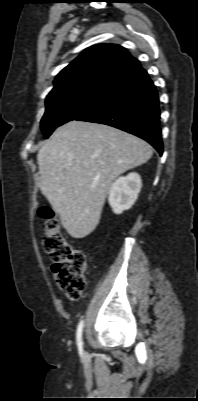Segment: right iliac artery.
I'll list each match as a JSON object with an SVG mask.
<instances>
[{"label":"right iliac artery","mask_w":198,"mask_h":401,"mask_svg":"<svg viewBox=\"0 0 198 401\" xmlns=\"http://www.w3.org/2000/svg\"><path fill=\"white\" fill-rule=\"evenodd\" d=\"M83 327H84V321L81 320L78 324L77 332H76V340H77V345H78L80 353H82V348H83V342H82Z\"/></svg>","instance_id":"right-iliac-artery-1"}]
</instances>
